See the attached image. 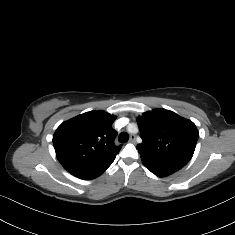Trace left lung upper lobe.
Segmentation results:
<instances>
[{"label": "left lung upper lobe", "instance_id": "1", "mask_svg": "<svg viewBox=\"0 0 235 235\" xmlns=\"http://www.w3.org/2000/svg\"><path fill=\"white\" fill-rule=\"evenodd\" d=\"M142 156L154 157L185 166L193 156L199 132L196 125L176 113L155 109L137 118Z\"/></svg>", "mask_w": 235, "mask_h": 235}]
</instances>
